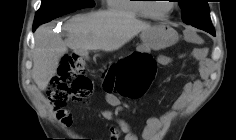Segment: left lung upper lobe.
Wrapping results in <instances>:
<instances>
[{"mask_svg": "<svg viewBox=\"0 0 236 140\" xmlns=\"http://www.w3.org/2000/svg\"><path fill=\"white\" fill-rule=\"evenodd\" d=\"M178 2L182 9V20L186 24H190L215 36L207 0H178Z\"/></svg>", "mask_w": 236, "mask_h": 140, "instance_id": "1", "label": "left lung upper lobe"}]
</instances>
